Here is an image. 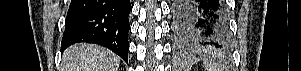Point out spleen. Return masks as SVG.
Returning a JSON list of instances; mask_svg holds the SVG:
<instances>
[{"mask_svg":"<svg viewBox=\"0 0 301 71\" xmlns=\"http://www.w3.org/2000/svg\"><path fill=\"white\" fill-rule=\"evenodd\" d=\"M206 68L208 69V71H217V68H213L210 65H207Z\"/></svg>","mask_w":301,"mask_h":71,"instance_id":"obj_1","label":"spleen"}]
</instances>
